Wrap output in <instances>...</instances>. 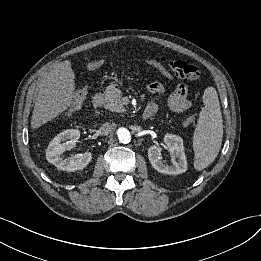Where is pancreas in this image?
I'll return each instance as SVG.
<instances>
[{
  "mask_svg": "<svg viewBox=\"0 0 261 261\" xmlns=\"http://www.w3.org/2000/svg\"><path fill=\"white\" fill-rule=\"evenodd\" d=\"M105 94V105L104 107L112 112L122 113L125 111L121 102L122 92L114 86H109L104 91Z\"/></svg>",
  "mask_w": 261,
  "mask_h": 261,
  "instance_id": "pancreas-1",
  "label": "pancreas"
}]
</instances>
